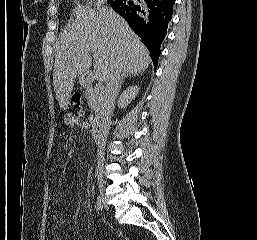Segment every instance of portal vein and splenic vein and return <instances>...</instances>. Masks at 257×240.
I'll list each match as a JSON object with an SVG mask.
<instances>
[{
  "instance_id": "portal-vein-and-splenic-vein-1",
  "label": "portal vein and splenic vein",
  "mask_w": 257,
  "mask_h": 240,
  "mask_svg": "<svg viewBox=\"0 0 257 240\" xmlns=\"http://www.w3.org/2000/svg\"><path fill=\"white\" fill-rule=\"evenodd\" d=\"M101 87V85H99V88ZM99 89H97V91H98Z\"/></svg>"
}]
</instances>
